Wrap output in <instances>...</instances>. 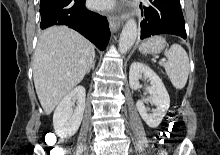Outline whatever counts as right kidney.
Returning a JSON list of instances; mask_svg holds the SVG:
<instances>
[{"label":"right kidney","mask_w":220,"mask_h":155,"mask_svg":"<svg viewBox=\"0 0 220 155\" xmlns=\"http://www.w3.org/2000/svg\"><path fill=\"white\" fill-rule=\"evenodd\" d=\"M85 97V88L77 86L57 106L53 115V126L58 136L69 138L77 132L83 119ZM75 100H77V106L73 111L72 106Z\"/></svg>","instance_id":"obj_1"}]
</instances>
